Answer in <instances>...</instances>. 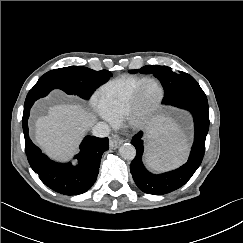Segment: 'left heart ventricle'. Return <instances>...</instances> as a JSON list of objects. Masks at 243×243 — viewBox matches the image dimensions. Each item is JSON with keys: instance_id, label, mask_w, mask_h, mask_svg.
Instances as JSON below:
<instances>
[{"instance_id": "obj_1", "label": "left heart ventricle", "mask_w": 243, "mask_h": 243, "mask_svg": "<svg viewBox=\"0 0 243 243\" xmlns=\"http://www.w3.org/2000/svg\"><path fill=\"white\" fill-rule=\"evenodd\" d=\"M159 94L158 86L155 83H149L145 86L140 97V105L145 107L152 104Z\"/></svg>"}]
</instances>
